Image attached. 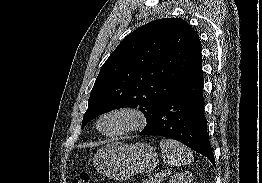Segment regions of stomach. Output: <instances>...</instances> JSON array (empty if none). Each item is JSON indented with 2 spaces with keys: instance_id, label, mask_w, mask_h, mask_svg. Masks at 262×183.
<instances>
[{
  "instance_id": "stomach-1",
  "label": "stomach",
  "mask_w": 262,
  "mask_h": 183,
  "mask_svg": "<svg viewBox=\"0 0 262 183\" xmlns=\"http://www.w3.org/2000/svg\"><path fill=\"white\" fill-rule=\"evenodd\" d=\"M157 153L147 143L112 142L93 157L94 167L104 176L125 180L135 174L148 173L157 166Z\"/></svg>"
}]
</instances>
